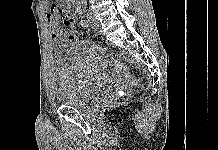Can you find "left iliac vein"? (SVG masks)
<instances>
[{
	"mask_svg": "<svg viewBox=\"0 0 218 150\" xmlns=\"http://www.w3.org/2000/svg\"><path fill=\"white\" fill-rule=\"evenodd\" d=\"M87 19L89 20V23L93 28L100 27V22L94 17L92 13L87 14Z\"/></svg>",
	"mask_w": 218,
	"mask_h": 150,
	"instance_id": "obj_1",
	"label": "left iliac vein"
}]
</instances>
